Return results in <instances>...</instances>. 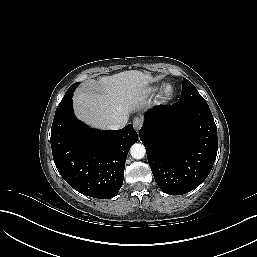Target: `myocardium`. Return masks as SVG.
Wrapping results in <instances>:
<instances>
[{
  "label": "myocardium",
  "mask_w": 257,
  "mask_h": 257,
  "mask_svg": "<svg viewBox=\"0 0 257 257\" xmlns=\"http://www.w3.org/2000/svg\"><path fill=\"white\" fill-rule=\"evenodd\" d=\"M174 94V88L171 85H167L162 93V100L166 101L168 99H170Z\"/></svg>",
  "instance_id": "f54148a6"
}]
</instances>
